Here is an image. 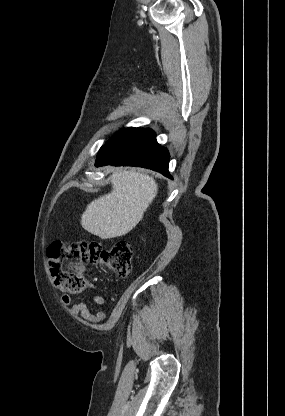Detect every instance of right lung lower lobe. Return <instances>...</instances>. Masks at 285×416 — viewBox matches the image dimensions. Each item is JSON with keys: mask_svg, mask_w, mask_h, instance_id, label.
I'll return each instance as SVG.
<instances>
[{"mask_svg": "<svg viewBox=\"0 0 285 416\" xmlns=\"http://www.w3.org/2000/svg\"><path fill=\"white\" fill-rule=\"evenodd\" d=\"M168 163V150L157 143L151 129L126 128L101 147L95 166H139L171 177Z\"/></svg>", "mask_w": 285, "mask_h": 416, "instance_id": "98d812e1", "label": "right lung lower lobe"}]
</instances>
